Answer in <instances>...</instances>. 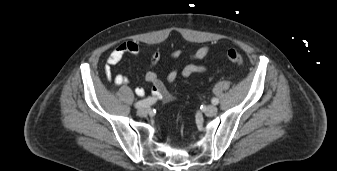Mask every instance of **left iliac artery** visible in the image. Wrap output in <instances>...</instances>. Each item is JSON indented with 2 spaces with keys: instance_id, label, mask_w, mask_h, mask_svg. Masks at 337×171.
Segmentation results:
<instances>
[{
  "instance_id": "left-iliac-artery-1",
  "label": "left iliac artery",
  "mask_w": 337,
  "mask_h": 171,
  "mask_svg": "<svg viewBox=\"0 0 337 171\" xmlns=\"http://www.w3.org/2000/svg\"><path fill=\"white\" fill-rule=\"evenodd\" d=\"M211 102L212 104L217 105L219 103V100L217 98H213Z\"/></svg>"
}]
</instances>
